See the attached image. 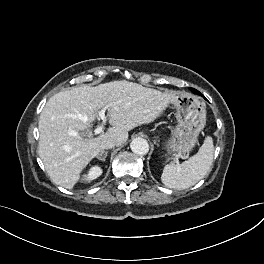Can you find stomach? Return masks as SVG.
Returning a JSON list of instances; mask_svg holds the SVG:
<instances>
[{
	"mask_svg": "<svg viewBox=\"0 0 264 264\" xmlns=\"http://www.w3.org/2000/svg\"><path fill=\"white\" fill-rule=\"evenodd\" d=\"M175 109L177 125L165 148L172 159L178 154L189 153L195 146L198 135L206 124V108L198 97L184 92L174 93L170 102Z\"/></svg>",
	"mask_w": 264,
	"mask_h": 264,
	"instance_id": "stomach-1",
	"label": "stomach"
}]
</instances>
